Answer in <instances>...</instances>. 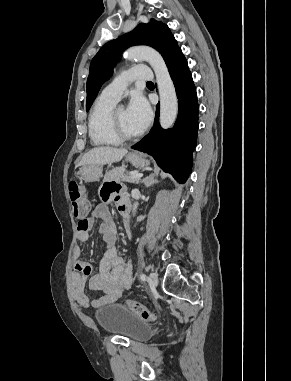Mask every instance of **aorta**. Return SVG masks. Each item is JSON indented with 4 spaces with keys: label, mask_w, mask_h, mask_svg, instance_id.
Instances as JSON below:
<instances>
[{
    "label": "aorta",
    "mask_w": 291,
    "mask_h": 381,
    "mask_svg": "<svg viewBox=\"0 0 291 381\" xmlns=\"http://www.w3.org/2000/svg\"><path fill=\"white\" fill-rule=\"evenodd\" d=\"M125 57L129 60L146 61L154 70L160 96V125L164 129L170 128L178 114V100L175 87L162 56L148 46H136L128 49ZM138 203L133 205V214L136 213Z\"/></svg>",
    "instance_id": "aorta-1"
}]
</instances>
